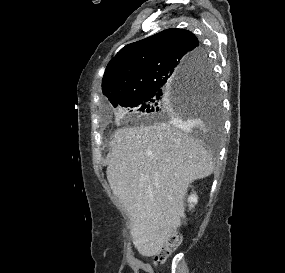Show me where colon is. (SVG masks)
Returning a JSON list of instances; mask_svg holds the SVG:
<instances>
[{
  "instance_id": "colon-1",
  "label": "colon",
  "mask_w": 285,
  "mask_h": 273,
  "mask_svg": "<svg viewBox=\"0 0 285 273\" xmlns=\"http://www.w3.org/2000/svg\"><path fill=\"white\" fill-rule=\"evenodd\" d=\"M180 238L177 235L171 236L161 250L155 255V263L161 264L165 262L168 256L178 247Z\"/></svg>"
}]
</instances>
